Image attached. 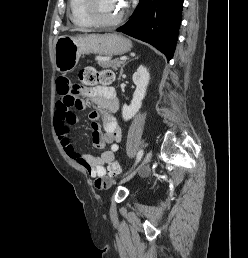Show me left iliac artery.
<instances>
[{"label": "left iliac artery", "instance_id": "1", "mask_svg": "<svg viewBox=\"0 0 248 258\" xmlns=\"http://www.w3.org/2000/svg\"><path fill=\"white\" fill-rule=\"evenodd\" d=\"M143 154H144V151H143V150H140V151L138 152L137 157H136L135 165L141 160Z\"/></svg>", "mask_w": 248, "mask_h": 258}]
</instances>
